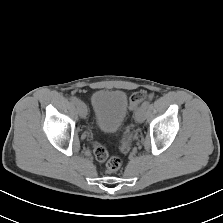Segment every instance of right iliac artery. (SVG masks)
<instances>
[{
	"label": "right iliac artery",
	"instance_id": "82829eb1",
	"mask_svg": "<svg viewBox=\"0 0 223 223\" xmlns=\"http://www.w3.org/2000/svg\"><path fill=\"white\" fill-rule=\"evenodd\" d=\"M70 100L73 104H77L78 102V99L76 97H71Z\"/></svg>",
	"mask_w": 223,
	"mask_h": 223
}]
</instances>
